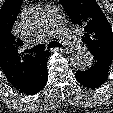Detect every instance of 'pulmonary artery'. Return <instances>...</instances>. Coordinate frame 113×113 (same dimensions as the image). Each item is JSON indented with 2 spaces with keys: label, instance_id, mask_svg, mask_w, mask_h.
<instances>
[{
  "label": "pulmonary artery",
  "instance_id": "e3ab8cb5",
  "mask_svg": "<svg viewBox=\"0 0 113 113\" xmlns=\"http://www.w3.org/2000/svg\"><path fill=\"white\" fill-rule=\"evenodd\" d=\"M46 21L43 29L37 35V40L42 41L45 38L60 34L65 44L73 49H82L83 43L78 35L67 30V28L61 23L58 10L55 7L48 6L46 8Z\"/></svg>",
  "mask_w": 113,
  "mask_h": 113
}]
</instances>
